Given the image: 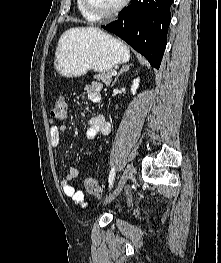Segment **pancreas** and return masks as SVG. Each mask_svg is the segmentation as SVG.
I'll return each instance as SVG.
<instances>
[{"mask_svg": "<svg viewBox=\"0 0 221 263\" xmlns=\"http://www.w3.org/2000/svg\"><path fill=\"white\" fill-rule=\"evenodd\" d=\"M112 70L94 75V79L102 81L106 86H109L112 81Z\"/></svg>", "mask_w": 221, "mask_h": 263, "instance_id": "pancreas-1", "label": "pancreas"}]
</instances>
